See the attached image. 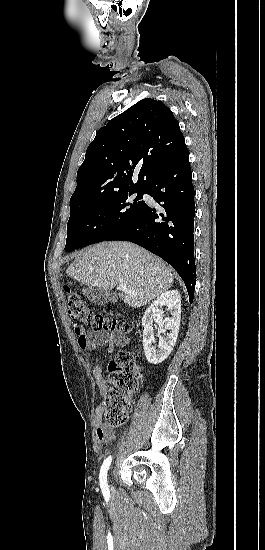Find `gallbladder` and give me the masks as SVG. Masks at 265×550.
Wrapping results in <instances>:
<instances>
[{"instance_id":"gallbladder-1","label":"gallbladder","mask_w":265,"mask_h":550,"mask_svg":"<svg viewBox=\"0 0 265 550\" xmlns=\"http://www.w3.org/2000/svg\"><path fill=\"white\" fill-rule=\"evenodd\" d=\"M83 295L97 305H105L108 302H116L118 297L116 294L103 288L86 286L82 289Z\"/></svg>"}]
</instances>
